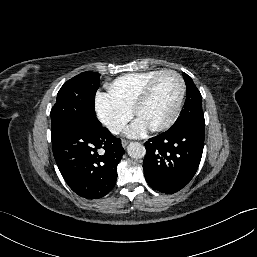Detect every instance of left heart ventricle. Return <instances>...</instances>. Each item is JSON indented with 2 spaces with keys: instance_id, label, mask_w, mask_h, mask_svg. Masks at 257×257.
<instances>
[{
  "instance_id": "left-heart-ventricle-1",
  "label": "left heart ventricle",
  "mask_w": 257,
  "mask_h": 257,
  "mask_svg": "<svg viewBox=\"0 0 257 257\" xmlns=\"http://www.w3.org/2000/svg\"><path fill=\"white\" fill-rule=\"evenodd\" d=\"M180 85L173 75L163 76L155 85L148 101L139 110L137 117L149 129L165 122L174 110L179 98Z\"/></svg>"
}]
</instances>
